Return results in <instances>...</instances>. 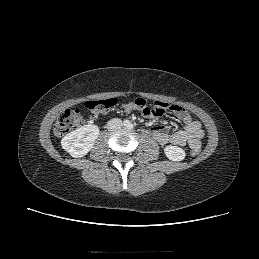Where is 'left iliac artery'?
<instances>
[{
	"label": "left iliac artery",
	"instance_id": "1",
	"mask_svg": "<svg viewBox=\"0 0 259 259\" xmlns=\"http://www.w3.org/2000/svg\"><path fill=\"white\" fill-rule=\"evenodd\" d=\"M129 128H130V129H132V128H133V125H132V124H130V125H129Z\"/></svg>",
	"mask_w": 259,
	"mask_h": 259
}]
</instances>
